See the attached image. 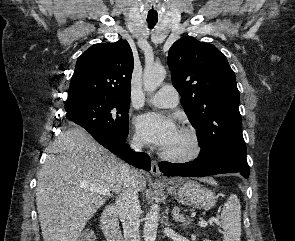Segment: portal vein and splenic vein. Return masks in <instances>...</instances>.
Segmentation results:
<instances>
[{
	"label": "portal vein and splenic vein",
	"instance_id": "1",
	"mask_svg": "<svg viewBox=\"0 0 295 241\" xmlns=\"http://www.w3.org/2000/svg\"><path fill=\"white\" fill-rule=\"evenodd\" d=\"M84 188L89 189L91 191L97 192L99 194L102 195H109L111 196L109 190H107L106 188H104L103 186L100 185H96V184H84L83 185ZM213 219L209 220V221H204V220H200L198 225L200 227H206L208 225V223H212Z\"/></svg>",
	"mask_w": 295,
	"mask_h": 241
}]
</instances>
